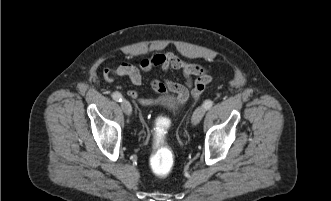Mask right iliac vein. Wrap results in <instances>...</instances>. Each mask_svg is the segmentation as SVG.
I'll return each mask as SVG.
<instances>
[{"mask_svg":"<svg viewBox=\"0 0 331 201\" xmlns=\"http://www.w3.org/2000/svg\"><path fill=\"white\" fill-rule=\"evenodd\" d=\"M121 108L126 115H128V116L131 115L132 107H131V104L127 100H123L121 102Z\"/></svg>","mask_w":331,"mask_h":201,"instance_id":"1","label":"right iliac vein"}]
</instances>
